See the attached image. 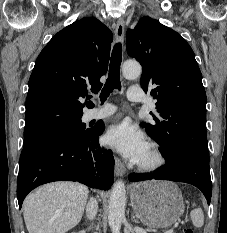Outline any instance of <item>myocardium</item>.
I'll list each match as a JSON object with an SVG mask.
<instances>
[{"label":"myocardium","instance_id":"1","mask_svg":"<svg viewBox=\"0 0 227 233\" xmlns=\"http://www.w3.org/2000/svg\"><path fill=\"white\" fill-rule=\"evenodd\" d=\"M148 149L151 152L152 159L149 162H137L136 167L139 171L152 173L160 170L166 163V156L161 146L156 142H150Z\"/></svg>","mask_w":227,"mask_h":233}]
</instances>
